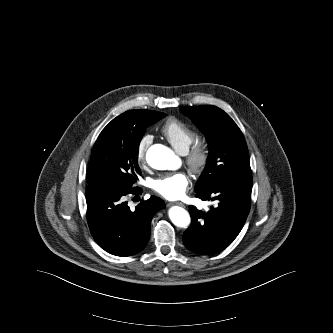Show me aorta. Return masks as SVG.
Listing matches in <instances>:
<instances>
[{"mask_svg": "<svg viewBox=\"0 0 333 333\" xmlns=\"http://www.w3.org/2000/svg\"><path fill=\"white\" fill-rule=\"evenodd\" d=\"M148 164L157 170H172L177 163V157L168 147L155 144L151 146L146 154ZM169 218L177 227L189 226L191 218L189 213L182 207L173 206L169 209Z\"/></svg>", "mask_w": 333, "mask_h": 333, "instance_id": "1", "label": "aorta"}]
</instances>
